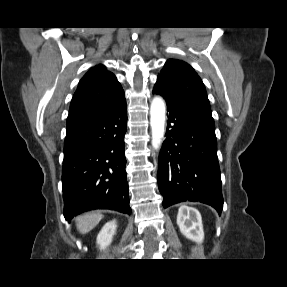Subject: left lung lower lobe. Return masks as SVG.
Wrapping results in <instances>:
<instances>
[{
    "instance_id": "obj_1",
    "label": "left lung lower lobe",
    "mask_w": 287,
    "mask_h": 287,
    "mask_svg": "<svg viewBox=\"0 0 287 287\" xmlns=\"http://www.w3.org/2000/svg\"><path fill=\"white\" fill-rule=\"evenodd\" d=\"M153 92L163 96L157 88ZM166 104L168 126L158 166L163 207L197 201L214 207L220 214L223 197L215 130L167 100Z\"/></svg>"
}]
</instances>
